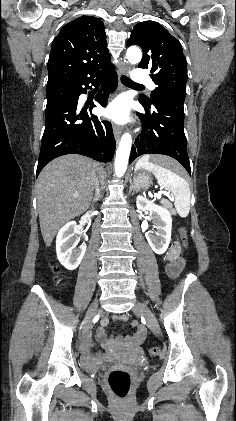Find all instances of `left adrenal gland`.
<instances>
[{
	"mask_svg": "<svg viewBox=\"0 0 236 421\" xmlns=\"http://www.w3.org/2000/svg\"><path fill=\"white\" fill-rule=\"evenodd\" d=\"M131 190H136V188H134V184H133L132 180H130L129 192H131Z\"/></svg>",
	"mask_w": 236,
	"mask_h": 421,
	"instance_id": "1",
	"label": "left adrenal gland"
}]
</instances>
